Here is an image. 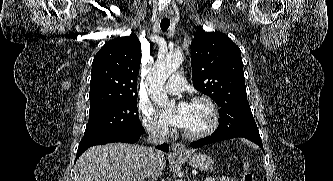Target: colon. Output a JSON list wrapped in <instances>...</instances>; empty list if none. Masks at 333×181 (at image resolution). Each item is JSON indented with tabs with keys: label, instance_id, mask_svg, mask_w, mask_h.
I'll list each match as a JSON object with an SVG mask.
<instances>
[{
	"label": "colon",
	"instance_id": "obj_1",
	"mask_svg": "<svg viewBox=\"0 0 333 181\" xmlns=\"http://www.w3.org/2000/svg\"><path fill=\"white\" fill-rule=\"evenodd\" d=\"M243 174L241 177V181H254L255 177L252 171L249 169L248 163L244 162L243 163Z\"/></svg>",
	"mask_w": 333,
	"mask_h": 181
}]
</instances>
